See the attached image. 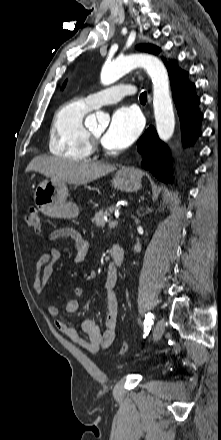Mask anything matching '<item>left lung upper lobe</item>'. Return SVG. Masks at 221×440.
Here are the masks:
<instances>
[{"mask_svg":"<svg viewBox=\"0 0 221 440\" xmlns=\"http://www.w3.org/2000/svg\"><path fill=\"white\" fill-rule=\"evenodd\" d=\"M137 49L139 50H143V51H148V52H152V53H158L159 49L154 47V46H150V45H142V46H137ZM66 82L63 84V88L65 86Z\"/></svg>","mask_w":221,"mask_h":440,"instance_id":"obj_1","label":"left lung upper lobe"}]
</instances>
